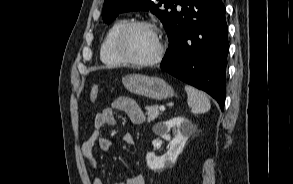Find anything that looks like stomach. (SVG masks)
I'll return each mask as SVG.
<instances>
[{
    "mask_svg": "<svg viewBox=\"0 0 293 184\" xmlns=\"http://www.w3.org/2000/svg\"><path fill=\"white\" fill-rule=\"evenodd\" d=\"M124 87L131 93L155 100L174 96L173 88L163 79L142 74H129L122 78Z\"/></svg>",
    "mask_w": 293,
    "mask_h": 184,
    "instance_id": "obj_1",
    "label": "stomach"
}]
</instances>
